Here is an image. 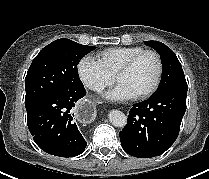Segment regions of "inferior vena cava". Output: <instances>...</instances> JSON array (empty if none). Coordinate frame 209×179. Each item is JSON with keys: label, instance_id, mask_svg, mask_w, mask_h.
<instances>
[{"label": "inferior vena cava", "instance_id": "inferior-vena-cava-1", "mask_svg": "<svg viewBox=\"0 0 209 179\" xmlns=\"http://www.w3.org/2000/svg\"><path fill=\"white\" fill-rule=\"evenodd\" d=\"M97 91H100L101 90V88H95Z\"/></svg>", "mask_w": 209, "mask_h": 179}]
</instances>
